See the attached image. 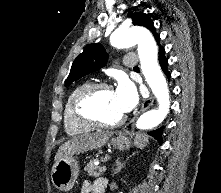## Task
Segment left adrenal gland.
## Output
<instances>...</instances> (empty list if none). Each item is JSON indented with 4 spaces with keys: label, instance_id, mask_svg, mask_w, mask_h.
<instances>
[{
    "label": "left adrenal gland",
    "instance_id": "left-adrenal-gland-1",
    "mask_svg": "<svg viewBox=\"0 0 221 193\" xmlns=\"http://www.w3.org/2000/svg\"><path fill=\"white\" fill-rule=\"evenodd\" d=\"M136 153H137V152H133L132 155L128 156L123 163L120 161V158H117V160H116V162H115L116 168H115L114 171H113V176H114L115 174L119 173V172L121 171V169L125 167L126 163L129 161V159H130L132 156H134Z\"/></svg>",
    "mask_w": 221,
    "mask_h": 193
}]
</instances>
